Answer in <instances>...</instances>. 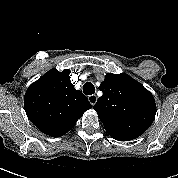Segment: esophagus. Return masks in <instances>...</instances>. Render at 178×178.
Listing matches in <instances>:
<instances>
[{
	"instance_id": "esophagus-1",
	"label": "esophagus",
	"mask_w": 178,
	"mask_h": 178,
	"mask_svg": "<svg viewBox=\"0 0 178 178\" xmlns=\"http://www.w3.org/2000/svg\"><path fill=\"white\" fill-rule=\"evenodd\" d=\"M88 101L90 102V104H91L92 106H94V105L96 104V102H97V96L94 95V94L88 96Z\"/></svg>"
}]
</instances>
